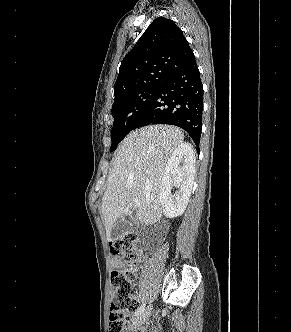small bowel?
Segmentation results:
<instances>
[{"label": "small bowel", "mask_w": 291, "mask_h": 332, "mask_svg": "<svg viewBox=\"0 0 291 332\" xmlns=\"http://www.w3.org/2000/svg\"><path fill=\"white\" fill-rule=\"evenodd\" d=\"M113 266L114 267H120L121 266V261L119 259H114L113 260Z\"/></svg>", "instance_id": "small-bowel-1"}]
</instances>
